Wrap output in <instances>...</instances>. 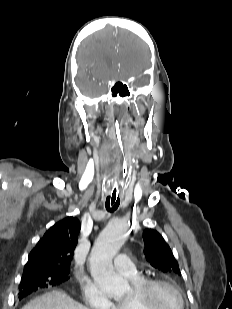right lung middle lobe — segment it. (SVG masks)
<instances>
[{
    "instance_id": "right-lung-middle-lobe-1",
    "label": "right lung middle lobe",
    "mask_w": 232,
    "mask_h": 309,
    "mask_svg": "<svg viewBox=\"0 0 232 309\" xmlns=\"http://www.w3.org/2000/svg\"><path fill=\"white\" fill-rule=\"evenodd\" d=\"M68 280V273L55 271H37L29 274H23L19 290L24 286H33L35 288L47 287L48 285H57Z\"/></svg>"
}]
</instances>
